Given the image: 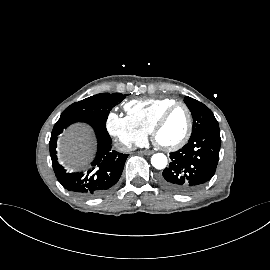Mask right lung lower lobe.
Returning <instances> with one entry per match:
<instances>
[{
  "instance_id": "right-lung-lower-lobe-1",
  "label": "right lung lower lobe",
  "mask_w": 270,
  "mask_h": 270,
  "mask_svg": "<svg viewBox=\"0 0 270 270\" xmlns=\"http://www.w3.org/2000/svg\"><path fill=\"white\" fill-rule=\"evenodd\" d=\"M76 122L89 124L95 131L98 150L92 162V169L86 174L67 173L57 161L56 141L64 129ZM111 138L106 130L105 123L90 118L66 119L58 121L52 131L49 150L52 159V166L58 181L64 188L82 197H95L106 192L119 180L127 154L112 150Z\"/></svg>"
}]
</instances>
